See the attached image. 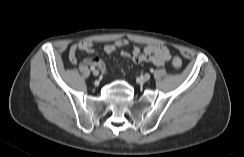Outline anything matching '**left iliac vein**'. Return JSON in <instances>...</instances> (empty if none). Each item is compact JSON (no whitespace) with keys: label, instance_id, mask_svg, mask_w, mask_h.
<instances>
[{"label":"left iliac vein","instance_id":"4c4485c4","mask_svg":"<svg viewBox=\"0 0 244 157\" xmlns=\"http://www.w3.org/2000/svg\"><path fill=\"white\" fill-rule=\"evenodd\" d=\"M143 81H148L150 79V74L146 73L142 77Z\"/></svg>","mask_w":244,"mask_h":157}]
</instances>
